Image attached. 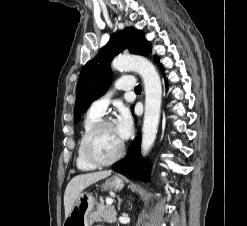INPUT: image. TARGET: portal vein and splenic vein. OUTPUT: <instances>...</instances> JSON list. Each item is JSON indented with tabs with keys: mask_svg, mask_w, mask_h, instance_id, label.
<instances>
[{
	"mask_svg": "<svg viewBox=\"0 0 247 226\" xmlns=\"http://www.w3.org/2000/svg\"><path fill=\"white\" fill-rule=\"evenodd\" d=\"M106 203H107V204H112V203H113V200L110 199V198H107V199H106Z\"/></svg>",
	"mask_w": 247,
	"mask_h": 226,
	"instance_id": "18ae733b",
	"label": "portal vein and splenic vein"
}]
</instances>
